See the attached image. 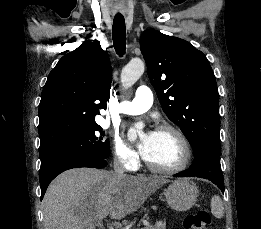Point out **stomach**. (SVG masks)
I'll list each match as a JSON object with an SVG mask.
<instances>
[{"mask_svg":"<svg viewBox=\"0 0 261 229\" xmlns=\"http://www.w3.org/2000/svg\"><path fill=\"white\" fill-rule=\"evenodd\" d=\"M167 203L174 211H189L198 197V187L187 179H179L169 185L164 193Z\"/></svg>","mask_w":261,"mask_h":229,"instance_id":"obj_1","label":"stomach"}]
</instances>
